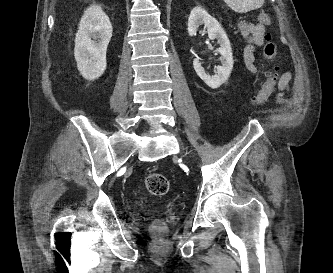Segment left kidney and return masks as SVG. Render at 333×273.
<instances>
[{"label":"left kidney","mask_w":333,"mask_h":273,"mask_svg":"<svg viewBox=\"0 0 333 273\" xmlns=\"http://www.w3.org/2000/svg\"><path fill=\"white\" fill-rule=\"evenodd\" d=\"M207 27L208 37L210 39H218L220 48L216 51L221 55L222 66L217 67V72L214 76L208 75L199 61V58L193 60V67L197 75L211 88L220 87L227 81L233 69V56L230 41L220 26L219 22L208 14V12L198 6L192 9L188 18V33L190 36L196 35L200 25Z\"/></svg>","instance_id":"1"}]
</instances>
